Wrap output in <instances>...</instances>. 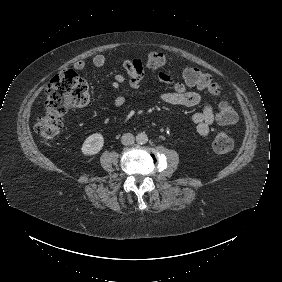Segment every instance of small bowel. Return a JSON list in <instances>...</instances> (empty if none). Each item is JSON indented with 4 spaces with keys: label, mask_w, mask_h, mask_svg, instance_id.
<instances>
[{
    "label": "small bowel",
    "mask_w": 282,
    "mask_h": 282,
    "mask_svg": "<svg viewBox=\"0 0 282 282\" xmlns=\"http://www.w3.org/2000/svg\"><path fill=\"white\" fill-rule=\"evenodd\" d=\"M105 62L106 58L102 54H96L92 59L93 66L97 68L104 66ZM85 67L86 62L84 60H77L74 63L76 70H83ZM123 68L125 73L116 74L111 83V87L116 91L113 99V106L115 108H121L126 103V95L122 91V86L127 79L132 88H138L144 82V72L140 60H125L123 62ZM155 79L170 89L169 91L159 93L158 99L161 103L186 107H194L201 104L202 99L198 92L187 90L183 83L175 80L171 75L161 72L155 76ZM199 88L203 89L201 87ZM215 118L216 115L212 106L204 104L192 116L197 133L202 137H206L210 132V126ZM219 121L222 123L220 119Z\"/></svg>",
    "instance_id": "obj_1"
}]
</instances>
